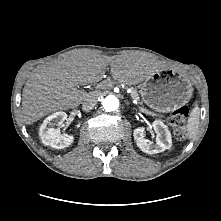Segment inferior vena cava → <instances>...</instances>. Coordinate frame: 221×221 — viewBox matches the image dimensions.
<instances>
[{"label": "inferior vena cava", "instance_id": "602c4592", "mask_svg": "<svg viewBox=\"0 0 221 221\" xmlns=\"http://www.w3.org/2000/svg\"><path fill=\"white\" fill-rule=\"evenodd\" d=\"M97 94H89L82 102L83 109L89 111L93 109L97 104Z\"/></svg>", "mask_w": 221, "mask_h": 221}]
</instances>
